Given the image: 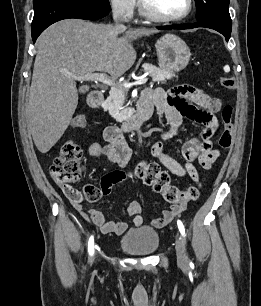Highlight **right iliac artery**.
Here are the masks:
<instances>
[{
    "label": "right iliac artery",
    "instance_id": "right-iliac-artery-1",
    "mask_svg": "<svg viewBox=\"0 0 261 306\" xmlns=\"http://www.w3.org/2000/svg\"><path fill=\"white\" fill-rule=\"evenodd\" d=\"M88 252H89L90 257H92L94 254V236L93 235L89 238V241H88Z\"/></svg>",
    "mask_w": 261,
    "mask_h": 306
}]
</instances>
